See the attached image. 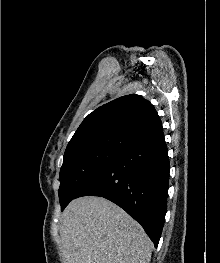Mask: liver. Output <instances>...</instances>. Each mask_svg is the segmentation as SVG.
<instances>
[{
	"mask_svg": "<svg viewBox=\"0 0 220 263\" xmlns=\"http://www.w3.org/2000/svg\"><path fill=\"white\" fill-rule=\"evenodd\" d=\"M64 263H149L152 242L133 218L95 196L72 200L60 219Z\"/></svg>",
	"mask_w": 220,
	"mask_h": 263,
	"instance_id": "liver-1",
	"label": "liver"
}]
</instances>
